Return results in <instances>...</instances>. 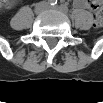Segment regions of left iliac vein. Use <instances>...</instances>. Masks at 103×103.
<instances>
[{
    "mask_svg": "<svg viewBox=\"0 0 103 103\" xmlns=\"http://www.w3.org/2000/svg\"><path fill=\"white\" fill-rule=\"evenodd\" d=\"M47 9H50V10H61L58 6H48Z\"/></svg>",
    "mask_w": 103,
    "mask_h": 103,
    "instance_id": "1",
    "label": "left iliac vein"
}]
</instances>
